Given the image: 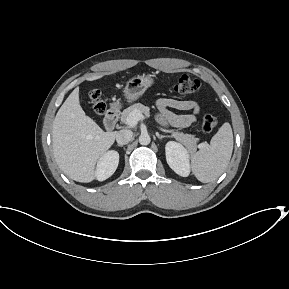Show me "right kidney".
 <instances>
[{
	"mask_svg": "<svg viewBox=\"0 0 289 289\" xmlns=\"http://www.w3.org/2000/svg\"><path fill=\"white\" fill-rule=\"evenodd\" d=\"M119 164V153L111 150L105 152L98 160L97 169L95 171L96 178L104 181L116 171Z\"/></svg>",
	"mask_w": 289,
	"mask_h": 289,
	"instance_id": "ca27d5eb",
	"label": "right kidney"
}]
</instances>
